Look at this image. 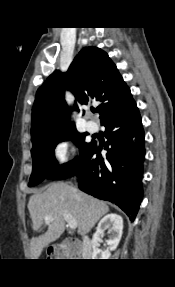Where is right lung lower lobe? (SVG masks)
<instances>
[{"label":"right lung lower lobe","instance_id":"right-lung-lower-lobe-1","mask_svg":"<svg viewBox=\"0 0 175 287\" xmlns=\"http://www.w3.org/2000/svg\"><path fill=\"white\" fill-rule=\"evenodd\" d=\"M106 158L93 142L83 161L58 180L79 176L80 190L119 206L133 221L142 200L144 131L134 100L105 115Z\"/></svg>","mask_w":175,"mask_h":287}]
</instances>
